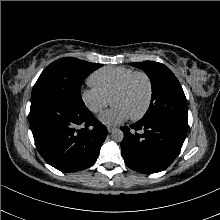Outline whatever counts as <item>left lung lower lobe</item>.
Listing matches in <instances>:
<instances>
[{"label": "left lung lower lobe", "mask_w": 220, "mask_h": 220, "mask_svg": "<svg viewBox=\"0 0 220 220\" xmlns=\"http://www.w3.org/2000/svg\"><path fill=\"white\" fill-rule=\"evenodd\" d=\"M120 129L124 133L121 151L126 165L144 174L165 170L179 154L188 130L168 119L138 121Z\"/></svg>", "instance_id": "0a47b994"}]
</instances>
